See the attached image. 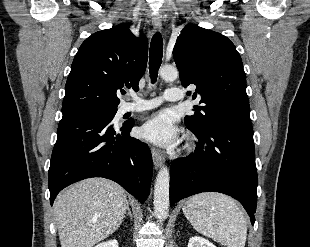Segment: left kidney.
<instances>
[{"mask_svg":"<svg viewBox=\"0 0 310 247\" xmlns=\"http://www.w3.org/2000/svg\"><path fill=\"white\" fill-rule=\"evenodd\" d=\"M188 247H216L212 242L204 238L194 236L190 238Z\"/></svg>","mask_w":310,"mask_h":247,"instance_id":"1","label":"left kidney"}]
</instances>
